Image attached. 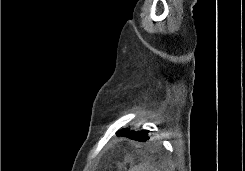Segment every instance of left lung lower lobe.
Listing matches in <instances>:
<instances>
[{
	"label": "left lung lower lobe",
	"instance_id": "1",
	"mask_svg": "<svg viewBox=\"0 0 245 171\" xmlns=\"http://www.w3.org/2000/svg\"><path fill=\"white\" fill-rule=\"evenodd\" d=\"M118 136H125L129 139L135 140V141H147L149 139L146 131H129V130H122L117 132Z\"/></svg>",
	"mask_w": 245,
	"mask_h": 171
}]
</instances>
